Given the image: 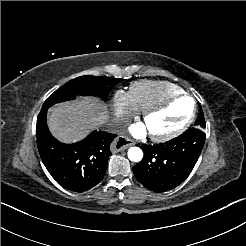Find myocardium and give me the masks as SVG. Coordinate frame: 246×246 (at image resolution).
I'll return each instance as SVG.
<instances>
[{
  "label": "myocardium",
  "mask_w": 246,
  "mask_h": 246,
  "mask_svg": "<svg viewBox=\"0 0 246 246\" xmlns=\"http://www.w3.org/2000/svg\"><path fill=\"white\" fill-rule=\"evenodd\" d=\"M180 99H187L189 102L194 104L193 98L188 94H183V95H179L177 97L168 99L167 101H165L159 105L153 106V107L147 109L146 111H144L143 119H142L143 123L145 124L152 115L167 110L174 102H176ZM194 116H195V108H193L192 113L185 120H183L180 124H178L172 130L167 131V132H162V133H149V135L155 141L169 140V139L176 137L177 135L181 134L183 131H185L191 125V123L194 119Z\"/></svg>",
  "instance_id": "obj_1"
}]
</instances>
